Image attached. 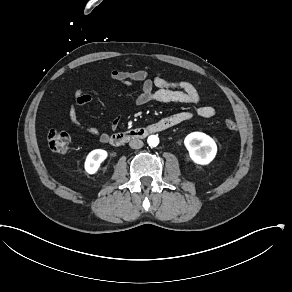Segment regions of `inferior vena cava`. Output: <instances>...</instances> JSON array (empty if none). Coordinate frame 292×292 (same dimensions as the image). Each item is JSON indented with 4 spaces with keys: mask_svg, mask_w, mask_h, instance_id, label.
<instances>
[{
    "mask_svg": "<svg viewBox=\"0 0 292 292\" xmlns=\"http://www.w3.org/2000/svg\"><path fill=\"white\" fill-rule=\"evenodd\" d=\"M129 146L132 149H140L143 147V142L140 139H133L129 142Z\"/></svg>",
    "mask_w": 292,
    "mask_h": 292,
    "instance_id": "inferior-vena-cava-1",
    "label": "inferior vena cava"
}]
</instances>
